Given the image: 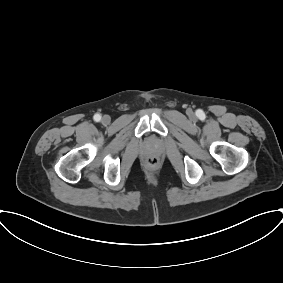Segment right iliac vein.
<instances>
[{
    "mask_svg": "<svg viewBox=\"0 0 283 283\" xmlns=\"http://www.w3.org/2000/svg\"><path fill=\"white\" fill-rule=\"evenodd\" d=\"M110 121H111V118H110L109 115H104V116L102 117V123H103V124H109Z\"/></svg>",
    "mask_w": 283,
    "mask_h": 283,
    "instance_id": "right-iliac-vein-1",
    "label": "right iliac vein"
}]
</instances>
